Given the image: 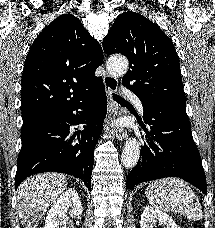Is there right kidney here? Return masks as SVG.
<instances>
[{
	"label": "right kidney",
	"instance_id": "obj_1",
	"mask_svg": "<svg viewBox=\"0 0 215 228\" xmlns=\"http://www.w3.org/2000/svg\"><path fill=\"white\" fill-rule=\"evenodd\" d=\"M76 218L82 214V204L76 190L68 188L57 200H54L45 220V228H59L62 224H67L69 218Z\"/></svg>",
	"mask_w": 215,
	"mask_h": 228
}]
</instances>
